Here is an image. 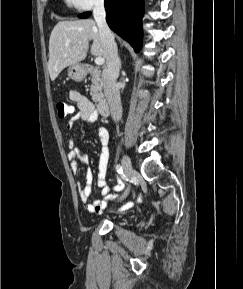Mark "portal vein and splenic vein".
Returning a JSON list of instances; mask_svg holds the SVG:
<instances>
[{"label": "portal vein and splenic vein", "instance_id": "obj_1", "mask_svg": "<svg viewBox=\"0 0 243 289\" xmlns=\"http://www.w3.org/2000/svg\"><path fill=\"white\" fill-rule=\"evenodd\" d=\"M65 46H69V43H66ZM95 63H96V65H103L104 64V58L103 57H96Z\"/></svg>", "mask_w": 243, "mask_h": 289}]
</instances>
